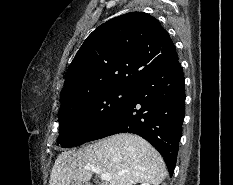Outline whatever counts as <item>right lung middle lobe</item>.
Returning a JSON list of instances; mask_svg holds the SVG:
<instances>
[{"label": "right lung middle lobe", "mask_w": 233, "mask_h": 185, "mask_svg": "<svg viewBox=\"0 0 233 185\" xmlns=\"http://www.w3.org/2000/svg\"><path fill=\"white\" fill-rule=\"evenodd\" d=\"M128 89H107L79 98L59 111L58 144L63 148L78 146L87 139L126 100Z\"/></svg>", "instance_id": "right-lung-middle-lobe-1"}]
</instances>
